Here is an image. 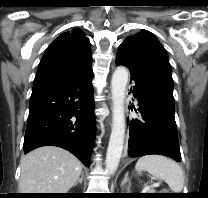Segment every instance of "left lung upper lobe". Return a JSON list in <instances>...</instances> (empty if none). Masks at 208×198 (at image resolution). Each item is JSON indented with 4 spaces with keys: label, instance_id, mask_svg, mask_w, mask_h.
Segmentation results:
<instances>
[{
    "label": "left lung upper lobe",
    "instance_id": "left-lung-upper-lobe-1",
    "mask_svg": "<svg viewBox=\"0 0 208 198\" xmlns=\"http://www.w3.org/2000/svg\"><path fill=\"white\" fill-rule=\"evenodd\" d=\"M120 47L128 50L154 84L174 100L173 79L168 56L152 33L142 30L128 37Z\"/></svg>",
    "mask_w": 208,
    "mask_h": 198
}]
</instances>
